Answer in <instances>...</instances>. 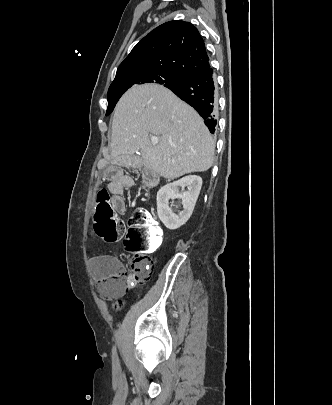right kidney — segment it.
I'll list each match as a JSON object with an SVG mask.
<instances>
[{"label":"right kidney","instance_id":"1","mask_svg":"<svg viewBox=\"0 0 332 405\" xmlns=\"http://www.w3.org/2000/svg\"><path fill=\"white\" fill-rule=\"evenodd\" d=\"M187 187L188 191H184ZM202 187V178L196 175L183 177L168 183L160 188L157 193V213L159 219L170 230H175L184 225L191 217L196 201ZM179 188L182 192H179ZM180 198L183 210L178 214L172 212L169 200Z\"/></svg>","mask_w":332,"mask_h":405}]
</instances>
